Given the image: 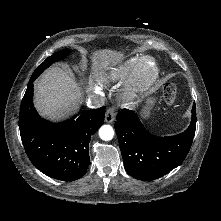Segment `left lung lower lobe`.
I'll use <instances>...</instances> for the list:
<instances>
[{
  "label": "left lung lower lobe",
  "mask_w": 221,
  "mask_h": 221,
  "mask_svg": "<svg viewBox=\"0 0 221 221\" xmlns=\"http://www.w3.org/2000/svg\"><path fill=\"white\" fill-rule=\"evenodd\" d=\"M115 122L124 168L139 180L158 179L178 167L187 156L196 129V106L189 127L173 137H157L141 124L137 114L121 110Z\"/></svg>",
  "instance_id": "obj_1"
}]
</instances>
